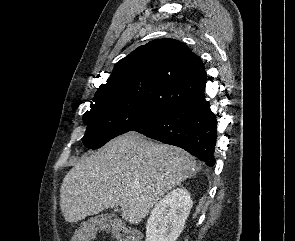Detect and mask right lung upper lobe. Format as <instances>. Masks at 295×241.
<instances>
[{"instance_id":"right-lung-upper-lobe-1","label":"right lung upper lobe","mask_w":295,"mask_h":241,"mask_svg":"<svg viewBox=\"0 0 295 241\" xmlns=\"http://www.w3.org/2000/svg\"><path fill=\"white\" fill-rule=\"evenodd\" d=\"M207 82L201 59L174 39H157L121 59L95 95L112 94L166 109L204 94Z\"/></svg>"}]
</instances>
